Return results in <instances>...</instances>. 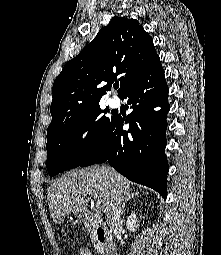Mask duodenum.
Masks as SVG:
<instances>
[{
  "mask_svg": "<svg viewBox=\"0 0 221 255\" xmlns=\"http://www.w3.org/2000/svg\"><path fill=\"white\" fill-rule=\"evenodd\" d=\"M79 219L84 223L92 225L95 232L96 241L98 244L102 245L104 255H119L117 248L107 242L105 228L97 216L89 211H85L79 214Z\"/></svg>",
  "mask_w": 221,
  "mask_h": 255,
  "instance_id": "410a0bca",
  "label": "duodenum"
}]
</instances>
